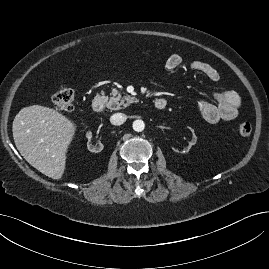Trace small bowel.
I'll return each instance as SVG.
<instances>
[{"instance_id":"c3829d8e","label":"small bowel","mask_w":269,"mask_h":269,"mask_svg":"<svg viewBox=\"0 0 269 269\" xmlns=\"http://www.w3.org/2000/svg\"><path fill=\"white\" fill-rule=\"evenodd\" d=\"M182 64V57L178 54L170 55L165 62L169 71L177 70ZM190 69L205 75L212 81H218L220 76L215 67L203 61H193ZM212 100L201 99L198 101V109L202 117L209 123L219 121H232L238 114L242 105L240 96L230 90L215 92L211 95Z\"/></svg>"}]
</instances>
